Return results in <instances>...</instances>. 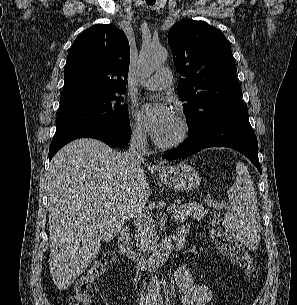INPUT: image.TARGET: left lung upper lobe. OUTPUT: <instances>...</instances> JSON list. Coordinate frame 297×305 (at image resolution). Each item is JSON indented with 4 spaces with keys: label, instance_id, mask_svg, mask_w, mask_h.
Returning <instances> with one entry per match:
<instances>
[{
    "label": "left lung upper lobe",
    "instance_id": "5c2ea615",
    "mask_svg": "<svg viewBox=\"0 0 297 305\" xmlns=\"http://www.w3.org/2000/svg\"><path fill=\"white\" fill-rule=\"evenodd\" d=\"M174 65L185 76L178 95L194 126L229 103L242 101L236 66L226 37L204 21L177 22L168 33Z\"/></svg>",
    "mask_w": 297,
    "mask_h": 305
}]
</instances>
